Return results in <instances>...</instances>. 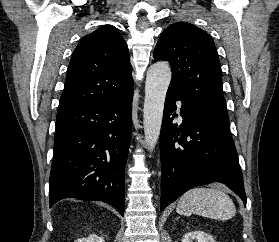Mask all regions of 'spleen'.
Segmentation results:
<instances>
[{
    "mask_svg": "<svg viewBox=\"0 0 279 242\" xmlns=\"http://www.w3.org/2000/svg\"><path fill=\"white\" fill-rule=\"evenodd\" d=\"M176 211L185 216L194 213L218 220H228L236 214L235 205L226 193L205 187L191 189L182 195Z\"/></svg>",
    "mask_w": 279,
    "mask_h": 242,
    "instance_id": "3e777b00",
    "label": "spleen"
}]
</instances>
